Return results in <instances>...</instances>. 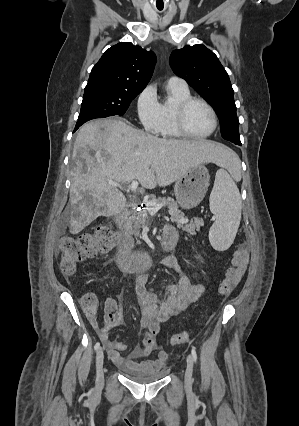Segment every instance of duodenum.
Here are the masks:
<instances>
[{
  "label": "duodenum",
  "mask_w": 299,
  "mask_h": 426,
  "mask_svg": "<svg viewBox=\"0 0 299 426\" xmlns=\"http://www.w3.org/2000/svg\"><path fill=\"white\" fill-rule=\"evenodd\" d=\"M135 209L134 205L128 206L122 213L116 218V225L121 231H125L128 219ZM175 245V237L172 231L164 230L161 241V247L163 250H171ZM151 259L147 253L133 252L132 242L128 237H124L121 241L118 253L117 263L120 269L126 273H134L142 268L148 266Z\"/></svg>",
  "instance_id": "410a0bca"
}]
</instances>
